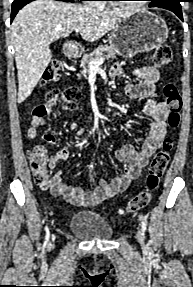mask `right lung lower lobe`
I'll list each match as a JSON object with an SVG mask.
<instances>
[{
    "label": "right lung lower lobe",
    "instance_id": "98d812e1",
    "mask_svg": "<svg viewBox=\"0 0 193 287\" xmlns=\"http://www.w3.org/2000/svg\"><path fill=\"white\" fill-rule=\"evenodd\" d=\"M34 0H14L12 3V12H11V21L14 19L17 12L24 7L26 4L32 2ZM64 2H73L74 0H59Z\"/></svg>",
    "mask_w": 193,
    "mask_h": 287
}]
</instances>
